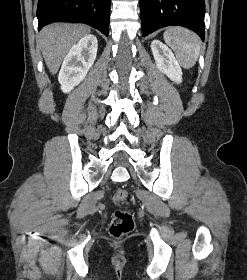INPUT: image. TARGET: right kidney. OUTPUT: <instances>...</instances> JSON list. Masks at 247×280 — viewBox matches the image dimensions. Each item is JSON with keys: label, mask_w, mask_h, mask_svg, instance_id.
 Segmentation results:
<instances>
[{"label": "right kidney", "mask_w": 247, "mask_h": 280, "mask_svg": "<svg viewBox=\"0 0 247 280\" xmlns=\"http://www.w3.org/2000/svg\"><path fill=\"white\" fill-rule=\"evenodd\" d=\"M97 49V38L92 34L84 36L70 49L58 76L64 93H69L85 78L96 59Z\"/></svg>", "instance_id": "ca27d5eb"}]
</instances>
